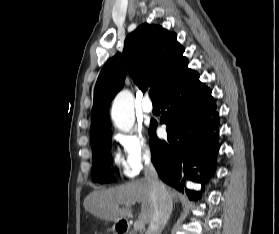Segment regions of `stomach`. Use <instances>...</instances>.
<instances>
[{
    "label": "stomach",
    "mask_w": 279,
    "mask_h": 234,
    "mask_svg": "<svg viewBox=\"0 0 279 234\" xmlns=\"http://www.w3.org/2000/svg\"><path fill=\"white\" fill-rule=\"evenodd\" d=\"M116 225H117V223H115V224L113 225L112 229H111V230L114 231V232L116 231Z\"/></svg>",
    "instance_id": "0dacf381"
}]
</instances>
